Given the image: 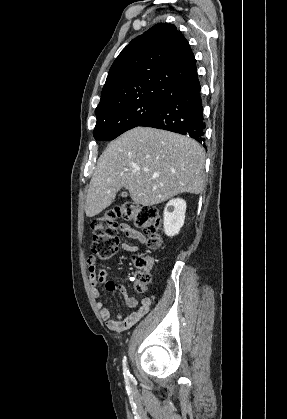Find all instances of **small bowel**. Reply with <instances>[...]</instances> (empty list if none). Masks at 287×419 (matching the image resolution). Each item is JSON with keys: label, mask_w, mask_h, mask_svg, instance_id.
<instances>
[{"label": "small bowel", "mask_w": 287, "mask_h": 419, "mask_svg": "<svg viewBox=\"0 0 287 419\" xmlns=\"http://www.w3.org/2000/svg\"><path fill=\"white\" fill-rule=\"evenodd\" d=\"M121 231L129 238L137 240L140 243L146 242V238L142 233L134 230L126 224L121 225ZM122 247L125 251L132 253H136L139 250L138 246L126 242L122 244ZM88 267L90 272V282L92 285V295L94 298L98 299L96 303L97 309L109 329L117 332L125 331L136 324L149 311L153 302V297L143 296L140 300L134 297H128L126 288L122 284L109 280L107 278L106 270L103 268H97L96 260L93 257L88 259ZM99 283L103 284L108 291L120 292L124 296L125 304L128 307H133L134 310L128 315H119L117 318H111L110 310L100 299V291L98 289Z\"/></svg>", "instance_id": "1"}]
</instances>
